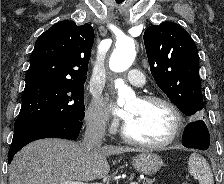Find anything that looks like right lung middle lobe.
Here are the masks:
<instances>
[{"label":"right lung middle lobe","mask_w":224,"mask_h":184,"mask_svg":"<svg viewBox=\"0 0 224 184\" xmlns=\"http://www.w3.org/2000/svg\"><path fill=\"white\" fill-rule=\"evenodd\" d=\"M84 83L36 81L26 84L14 131L44 120H83Z\"/></svg>","instance_id":"dd1d6c3e"}]
</instances>
